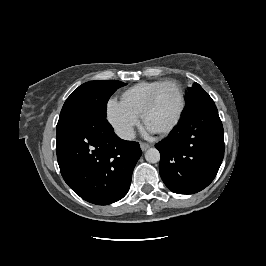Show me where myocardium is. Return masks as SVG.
<instances>
[{
  "label": "myocardium",
  "mask_w": 266,
  "mask_h": 266,
  "mask_svg": "<svg viewBox=\"0 0 266 266\" xmlns=\"http://www.w3.org/2000/svg\"><path fill=\"white\" fill-rule=\"evenodd\" d=\"M167 85H174L177 87L178 93H179V107L177 109V112L173 118V120L163 129L158 130L156 132L161 133V134H165L170 132L179 122L184 107H185V92L184 89L182 87V85L176 81V80H166L164 82H162L150 95L149 99L147 100L146 104L144 105L142 112H141V118L143 120L144 123H146V117L147 114L149 112V110L152 108L157 96L159 95L160 91Z\"/></svg>",
  "instance_id": "1"
}]
</instances>
